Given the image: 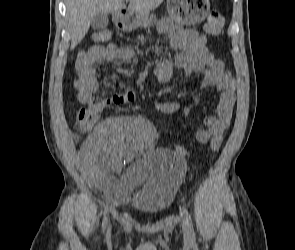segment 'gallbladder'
<instances>
[{
	"mask_svg": "<svg viewBox=\"0 0 295 250\" xmlns=\"http://www.w3.org/2000/svg\"><path fill=\"white\" fill-rule=\"evenodd\" d=\"M109 18L107 14H97L91 20V27L94 30H103L107 27Z\"/></svg>",
	"mask_w": 295,
	"mask_h": 250,
	"instance_id": "obj_1",
	"label": "gallbladder"
}]
</instances>
